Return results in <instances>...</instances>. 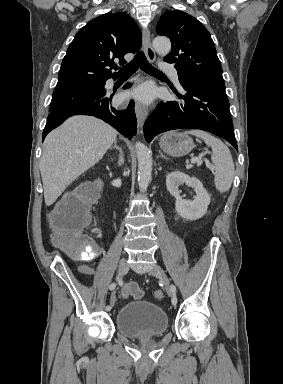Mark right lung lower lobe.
<instances>
[{"instance_id": "1", "label": "right lung lower lobe", "mask_w": 283, "mask_h": 384, "mask_svg": "<svg viewBox=\"0 0 283 384\" xmlns=\"http://www.w3.org/2000/svg\"><path fill=\"white\" fill-rule=\"evenodd\" d=\"M127 84L124 88L129 87ZM106 90L95 96L86 98L77 103L50 110L51 114L47 119L43 131L42 140L46 135L58 127L67 117L72 115H91L100 118L117 129L124 136L131 138L137 132V120L134 112V102L131 101L127 109H116L110 105L111 98L105 97Z\"/></svg>"}]
</instances>
